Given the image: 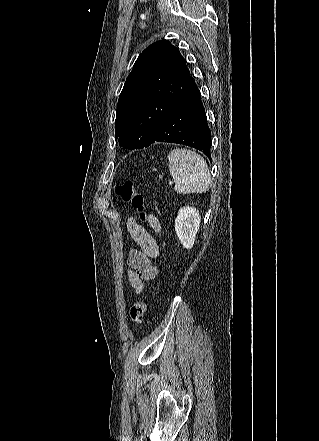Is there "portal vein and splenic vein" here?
<instances>
[{"instance_id":"18ae733b","label":"portal vein and splenic vein","mask_w":319,"mask_h":441,"mask_svg":"<svg viewBox=\"0 0 319 441\" xmlns=\"http://www.w3.org/2000/svg\"><path fill=\"white\" fill-rule=\"evenodd\" d=\"M169 184H173V182L171 181Z\"/></svg>"}]
</instances>
